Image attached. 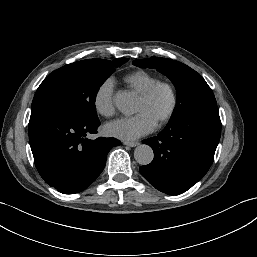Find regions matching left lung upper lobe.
<instances>
[{
    "mask_svg": "<svg viewBox=\"0 0 257 257\" xmlns=\"http://www.w3.org/2000/svg\"><path fill=\"white\" fill-rule=\"evenodd\" d=\"M133 64L141 68H156L173 82L177 90V102L169 123L203 107L217 105L214 94L203 77L181 62L151 57L135 60Z\"/></svg>",
    "mask_w": 257,
    "mask_h": 257,
    "instance_id": "obj_1",
    "label": "left lung upper lobe"
}]
</instances>
